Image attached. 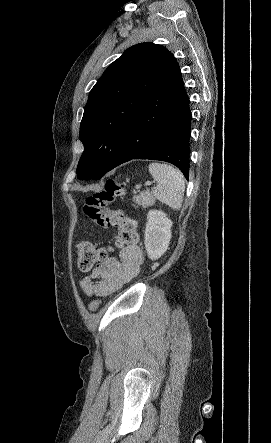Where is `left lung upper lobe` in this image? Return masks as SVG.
I'll list each match as a JSON object with an SVG mask.
<instances>
[{
	"instance_id": "obj_1",
	"label": "left lung upper lobe",
	"mask_w": 271,
	"mask_h": 443,
	"mask_svg": "<svg viewBox=\"0 0 271 443\" xmlns=\"http://www.w3.org/2000/svg\"><path fill=\"white\" fill-rule=\"evenodd\" d=\"M172 59L165 47L140 43L104 71L89 94L80 124L84 152L77 166L78 179L97 180L109 171L134 113Z\"/></svg>"
}]
</instances>
